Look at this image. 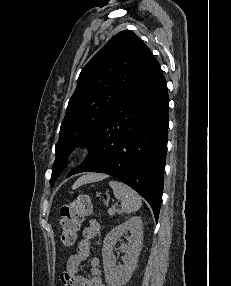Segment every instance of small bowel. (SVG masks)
Here are the masks:
<instances>
[{
    "label": "small bowel",
    "mask_w": 231,
    "mask_h": 286,
    "mask_svg": "<svg viewBox=\"0 0 231 286\" xmlns=\"http://www.w3.org/2000/svg\"><path fill=\"white\" fill-rule=\"evenodd\" d=\"M100 228V223L92 219L83 229L76 252L68 258L66 269L61 274L63 286H105L101 278L100 260L97 257L90 259L91 275L89 277L78 273L81 264L90 256L91 242L99 233Z\"/></svg>",
    "instance_id": "1"
}]
</instances>
